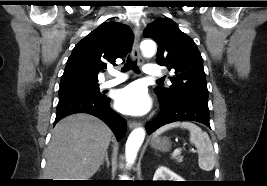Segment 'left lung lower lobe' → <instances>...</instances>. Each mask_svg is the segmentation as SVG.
<instances>
[{
    "instance_id": "0a47b994",
    "label": "left lung lower lobe",
    "mask_w": 267,
    "mask_h": 186,
    "mask_svg": "<svg viewBox=\"0 0 267 186\" xmlns=\"http://www.w3.org/2000/svg\"><path fill=\"white\" fill-rule=\"evenodd\" d=\"M161 111L158 117L146 124L148 134L153 133L165 124L176 121H196L210 128L209 108L206 102L181 100L177 102L160 101Z\"/></svg>"
}]
</instances>
